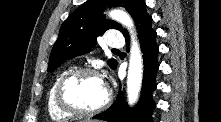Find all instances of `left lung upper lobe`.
Listing matches in <instances>:
<instances>
[{
  "label": "left lung upper lobe",
  "mask_w": 221,
  "mask_h": 122,
  "mask_svg": "<svg viewBox=\"0 0 221 122\" xmlns=\"http://www.w3.org/2000/svg\"><path fill=\"white\" fill-rule=\"evenodd\" d=\"M138 0H88L72 13L62 24L59 36L49 58L47 71L52 72L65 61L88 53L96 45V38L108 29L125 30L112 20H106L103 11L107 7L121 6L132 15ZM108 64L112 69L117 61L111 59Z\"/></svg>",
  "instance_id": "left-lung-upper-lobe-1"
}]
</instances>
